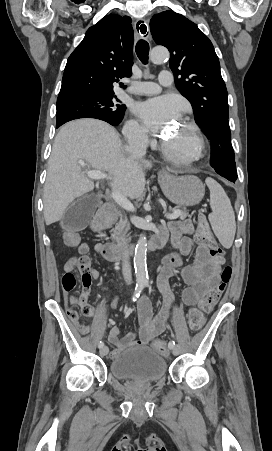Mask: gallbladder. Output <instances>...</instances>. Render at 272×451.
Instances as JSON below:
<instances>
[{
	"instance_id": "gallbladder-1",
	"label": "gallbladder",
	"mask_w": 272,
	"mask_h": 451,
	"mask_svg": "<svg viewBox=\"0 0 272 451\" xmlns=\"http://www.w3.org/2000/svg\"><path fill=\"white\" fill-rule=\"evenodd\" d=\"M100 204V198H97L95 194L81 196L65 210V214L60 220V226L64 229H72V231L84 229L91 222Z\"/></svg>"
}]
</instances>
